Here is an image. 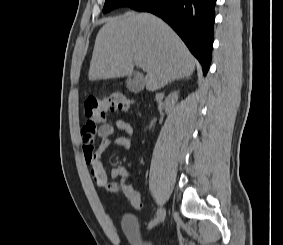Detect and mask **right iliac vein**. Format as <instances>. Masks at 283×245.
<instances>
[{
  "mask_svg": "<svg viewBox=\"0 0 283 245\" xmlns=\"http://www.w3.org/2000/svg\"><path fill=\"white\" fill-rule=\"evenodd\" d=\"M166 215V209L165 208H161L158 213L157 216L155 217V221L153 224V227L158 226L165 218Z\"/></svg>",
  "mask_w": 283,
  "mask_h": 245,
  "instance_id": "obj_1",
  "label": "right iliac vein"
}]
</instances>
